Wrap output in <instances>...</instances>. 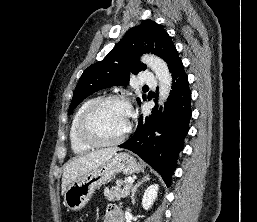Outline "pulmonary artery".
I'll return each mask as SVG.
<instances>
[{"mask_svg": "<svg viewBox=\"0 0 257 222\" xmlns=\"http://www.w3.org/2000/svg\"><path fill=\"white\" fill-rule=\"evenodd\" d=\"M141 83L145 84L150 87L157 86V80L155 76L149 72H142L141 73Z\"/></svg>", "mask_w": 257, "mask_h": 222, "instance_id": "obj_1", "label": "pulmonary artery"}]
</instances>
